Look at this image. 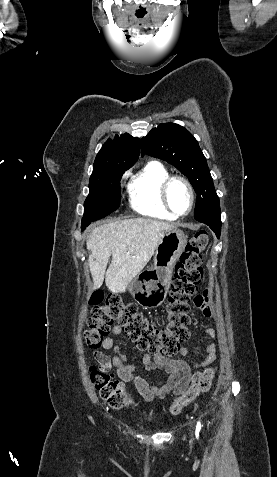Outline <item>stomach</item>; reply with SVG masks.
<instances>
[{
	"label": "stomach",
	"mask_w": 277,
	"mask_h": 477,
	"mask_svg": "<svg viewBox=\"0 0 277 477\" xmlns=\"http://www.w3.org/2000/svg\"><path fill=\"white\" fill-rule=\"evenodd\" d=\"M187 236L177 229L167 231L154 254L153 266L140 272L129 284L128 290L143 308H155L166 299L172 271L185 250Z\"/></svg>",
	"instance_id": "stomach-1"
}]
</instances>
